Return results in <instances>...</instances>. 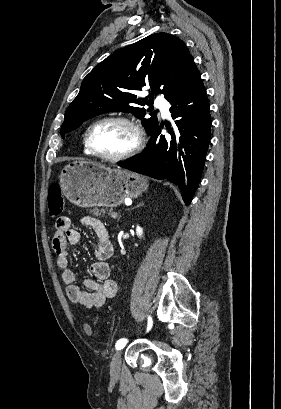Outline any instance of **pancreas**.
I'll list each match as a JSON object with an SVG mask.
<instances>
[{
  "label": "pancreas",
  "instance_id": "1",
  "mask_svg": "<svg viewBox=\"0 0 281 409\" xmlns=\"http://www.w3.org/2000/svg\"><path fill=\"white\" fill-rule=\"evenodd\" d=\"M101 213H105V209H101V211H99V209H97V211H96V213H94V215H96V217H99V215H101ZM108 215H109V213H108Z\"/></svg>",
  "mask_w": 281,
  "mask_h": 409
}]
</instances>
